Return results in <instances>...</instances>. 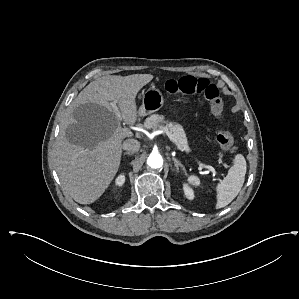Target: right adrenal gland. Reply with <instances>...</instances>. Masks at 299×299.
Masks as SVG:
<instances>
[{"instance_id":"2a0ac1e0","label":"right adrenal gland","mask_w":299,"mask_h":299,"mask_svg":"<svg viewBox=\"0 0 299 299\" xmlns=\"http://www.w3.org/2000/svg\"><path fill=\"white\" fill-rule=\"evenodd\" d=\"M125 155H132V153H130V152H125V153H124V156H125Z\"/></svg>"}]
</instances>
